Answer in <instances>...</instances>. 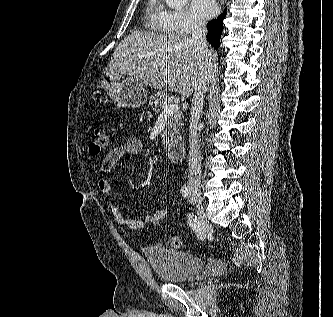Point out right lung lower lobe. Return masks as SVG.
<instances>
[{
  "instance_id": "1",
  "label": "right lung lower lobe",
  "mask_w": 333,
  "mask_h": 317,
  "mask_svg": "<svg viewBox=\"0 0 333 317\" xmlns=\"http://www.w3.org/2000/svg\"><path fill=\"white\" fill-rule=\"evenodd\" d=\"M226 16V10L220 15L216 20H212L208 23L207 29V40L211 43L215 48L219 47V40L223 30L222 21Z\"/></svg>"
}]
</instances>
